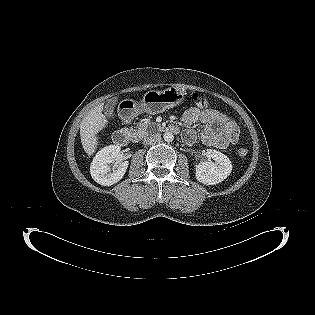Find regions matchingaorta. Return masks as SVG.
Here are the masks:
<instances>
[{
    "mask_svg": "<svg viewBox=\"0 0 315 315\" xmlns=\"http://www.w3.org/2000/svg\"><path fill=\"white\" fill-rule=\"evenodd\" d=\"M163 137L166 142H172L174 139V136L171 132L164 133Z\"/></svg>",
    "mask_w": 315,
    "mask_h": 315,
    "instance_id": "762f6f07",
    "label": "aorta"
}]
</instances>
